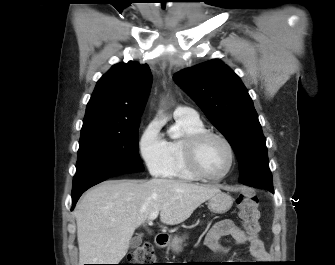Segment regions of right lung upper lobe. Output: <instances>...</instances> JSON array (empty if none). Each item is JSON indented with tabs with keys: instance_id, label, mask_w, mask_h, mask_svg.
<instances>
[{
	"instance_id": "1",
	"label": "right lung upper lobe",
	"mask_w": 335,
	"mask_h": 265,
	"mask_svg": "<svg viewBox=\"0 0 335 265\" xmlns=\"http://www.w3.org/2000/svg\"><path fill=\"white\" fill-rule=\"evenodd\" d=\"M151 82L147 64L114 65L96 84L87 104L81 133L117 131L140 122Z\"/></svg>"
}]
</instances>
